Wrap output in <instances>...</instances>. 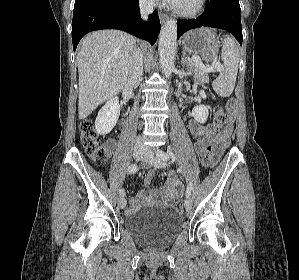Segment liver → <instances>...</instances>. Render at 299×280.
<instances>
[{
	"mask_svg": "<svg viewBox=\"0 0 299 280\" xmlns=\"http://www.w3.org/2000/svg\"><path fill=\"white\" fill-rule=\"evenodd\" d=\"M135 48L134 37L118 30L95 31L81 40L77 53L80 119L123 89Z\"/></svg>",
	"mask_w": 299,
	"mask_h": 280,
	"instance_id": "6515ba94",
	"label": "liver"
}]
</instances>
